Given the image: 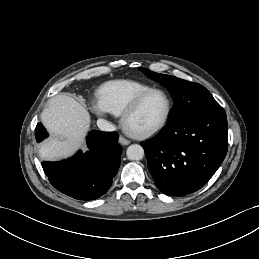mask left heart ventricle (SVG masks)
Returning a JSON list of instances; mask_svg holds the SVG:
<instances>
[{"instance_id":"obj_1","label":"left heart ventricle","mask_w":259,"mask_h":259,"mask_svg":"<svg viewBox=\"0 0 259 259\" xmlns=\"http://www.w3.org/2000/svg\"><path fill=\"white\" fill-rule=\"evenodd\" d=\"M167 101L163 94L148 96L129 117L127 125L135 131H144L156 126L164 117Z\"/></svg>"}]
</instances>
